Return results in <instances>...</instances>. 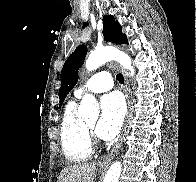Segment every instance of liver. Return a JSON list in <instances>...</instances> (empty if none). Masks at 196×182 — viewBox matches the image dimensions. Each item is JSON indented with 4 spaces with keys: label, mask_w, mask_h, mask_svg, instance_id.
<instances>
[{
    "label": "liver",
    "mask_w": 196,
    "mask_h": 182,
    "mask_svg": "<svg viewBox=\"0 0 196 182\" xmlns=\"http://www.w3.org/2000/svg\"><path fill=\"white\" fill-rule=\"evenodd\" d=\"M95 170V162L70 165L62 169L57 182H93Z\"/></svg>",
    "instance_id": "liver-1"
}]
</instances>
